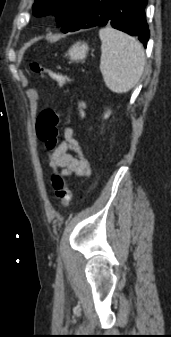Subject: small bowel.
<instances>
[{"mask_svg":"<svg viewBox=\"0 0 171 337\" xmlns=\"http://www.w3.org/2000/svg\"><path fill=\"white\" fill-rule=\"evenodd\" d=\"M63 142L53 151H46L49 166L53 169V176L61 174L83 177L91 174V164L81 144L74 138L73 130L65 127ZM60 169V171H59Z\"/></svg>","mask_w":171,"mask_h":337,"instance_id":"obj_1","label":"small bowel"}]
</instances>
